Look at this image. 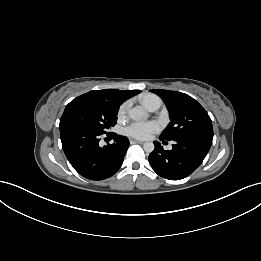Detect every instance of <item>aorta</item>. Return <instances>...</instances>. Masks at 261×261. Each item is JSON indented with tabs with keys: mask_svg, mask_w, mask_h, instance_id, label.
<instances>
[{
	"mask_svg": "<svg viewBox=\"0 0 261 261\" xmlns=\"http://www.w3.org/2000/svg\"><path fill=\"white\" fill-rule=\"evenodd\" d=\"M129 116L132 120L135 121H141V120H146L148 118L147 112L141 107V106H136L132 108L129 111ZM155 146L153 142H146L143 145V149L146 153H151L153 152Z\"/></svg>",
	"mask_w": 261,
	"mask_h": 261,
	"instance_id": "obj_1",
	"label": "aorta"
}]
</instances>
